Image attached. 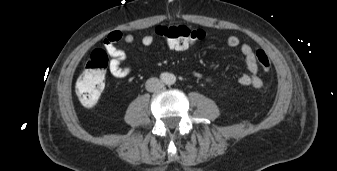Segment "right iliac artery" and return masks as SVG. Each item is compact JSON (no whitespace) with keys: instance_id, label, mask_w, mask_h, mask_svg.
<instances>
[{"instance_id":"right-iliac-artery-1","label":"right iliac artery","mask_w":337,"mask_h":171,"mask_svg":"<svg viewBox=\"0 0 337 171\" xmlns=\"http://www.w3.org/2000/svg\"><path fill=\"white\" fill-rule=\"evenodd\" d=\"M161 79H162V81H167V79H168V74L167 73H163V74H161Z\"/></svg>"}]
</instances>
